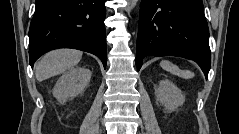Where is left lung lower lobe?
<instances>
[{
  "mask_svg": "<svg viewBox=\"0 0 239 134\" xmlns=\"http://www.w3.org/2000/svg\"><path fill=\"white\" fill-rule=\"evenodd\" d=\"M194 60L208 78L209 30L202 0H142L136 46L137 70L145 56Z\"/></svg>",
  "mask_w": 239,
  "mask_h": 134,
  "instance_id": "0a47b994",
  "label": "left lung lower lobe"
}]
</instances>
